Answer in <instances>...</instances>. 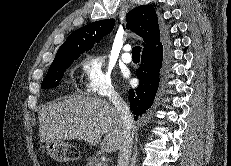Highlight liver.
Segmentation results:
<instances>
[{
    "label": "liver",
    "mask_w": 231,
    "mask_h": 166,
    "mask_svg": "<svg viewBox=\"0 0 231 166\" xmlns=\"http://www.w3.org/2000/svg\"><path fill=\"white\" fill-rule=\"evenodd\" d=\"M41 142L48 140H82L113 153L123 140V122L116 109L105 100L71 97L52 102L38 113ZM105 134L104 139L101 140Z\"/></svg>",
    "instance_id": "1"
}]
</instances>
